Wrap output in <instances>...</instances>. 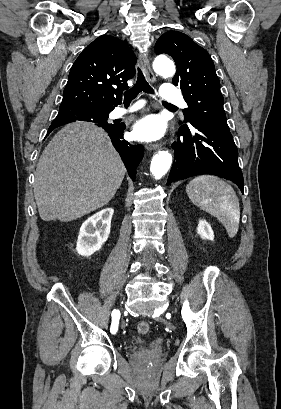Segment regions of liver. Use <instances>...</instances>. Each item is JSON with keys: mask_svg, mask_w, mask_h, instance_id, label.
Wrapping results in <instances>:
<instances>
[{"mask_svg": "<svg viewBox=\"0 0 281 409\" xmlns=\"http://www.w3.org/2000/svg\"><path fill=\"white\" fill-rule=\"evenodd\" d=\"M126 168L104 128L70 122L45 146L37 164L34 196L42 221H74L105 207Z\"/></svg>", "mask_w": 281, "mask_h": 409, "instance_id": "1", "label": "liver"}]
</instances>
